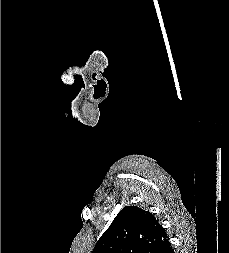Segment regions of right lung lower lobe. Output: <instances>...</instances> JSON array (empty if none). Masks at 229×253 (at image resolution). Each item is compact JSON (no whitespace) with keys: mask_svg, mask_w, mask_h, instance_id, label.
<instances>
[{"mask_svg":"<svg viewBox=\"0 0 229 253\" xmlns=\"http://www.w3.org/2000/svg\"><path fill=\"white\" fill-rule=\"evenodd\" d=\"M161 253H174L171 244H169Z\"/></svg>","mask_w":229,"mask_h":253,"instance_id":"98d812e1","label":"right lung lower lobe"}]
</instances>
